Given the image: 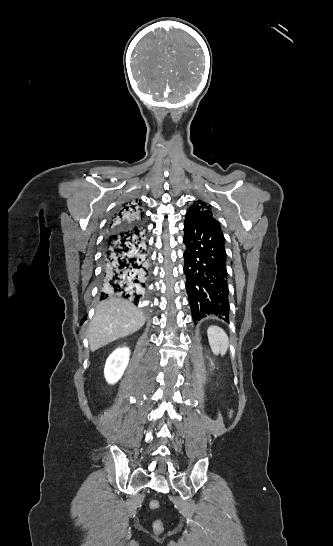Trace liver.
I'll list each match as a JSON object with an SVG mask.
<instances>
[{"mask_svg": "<svg viewBox=\"0 0 333 546\" xmlns=\"http://www.w3.org/2000/svg\"><path fill=\"white\" fill-rule=\"evenodd\" d=\"M145 320L143 312L124 299L110 298L100 302L87 330L91 351L135 333L143 327Z\"/></svg>", "mask_w": 333, "mask_h": 546, "instance_id": "obj_1", "label": "liver"}]
</instances>
